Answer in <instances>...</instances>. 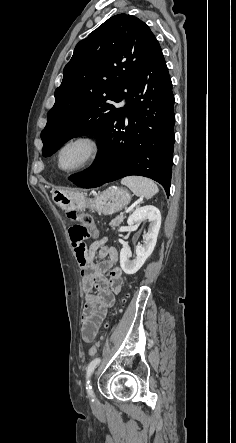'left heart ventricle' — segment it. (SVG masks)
Masks as SVG:
<instances>
[{"label": "left heart ventricle", "mask_w": 236, "mask_h": 443, "mask_svg": "<svg viewBox=\"0 0 236 443\" xmlns=\"http://www.w3.org/2000/svg\"><path fill=\"white\" fill-rule=\"evenodd\" d=\"M89 150L83 143H75L68 146L61 156L63 168H72L80 165L88 156Z\"/></svg>", "instance_id": "left-heart-ventricle-1"}]
</instances>
